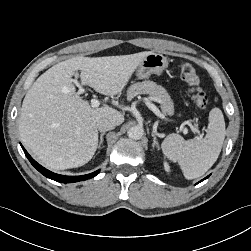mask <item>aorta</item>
<instances>
[{"label":"aorta","mask_w":251,"mask_h":251,"mask_svg":"<svg viewBox=\"0 0 251 251\" xmlns=\"http://www.w3.org/2000/svg\"><path fill=\"white\" fill-rule=\"evenodd\" d=\"M127 134L129 138L139 140L144 134V129L141 126H133L128 130Z\"/></svg>","instance_id":"aorta-1"}]
</instances>
